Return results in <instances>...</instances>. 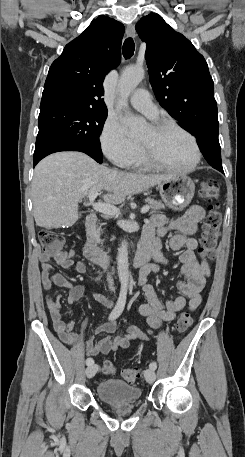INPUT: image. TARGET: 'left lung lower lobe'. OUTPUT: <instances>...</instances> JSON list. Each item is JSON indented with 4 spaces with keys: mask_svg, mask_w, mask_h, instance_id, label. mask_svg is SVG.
<instances>
[{
    "mask_svg": "<svg viewBox=\"0 0 245 457\" xmlns=\"http://www.w3.org/2000/svg\"><path fill=\"white\" fill-rule=\"evenodd\" d=\"M218 127L219 124H210L208 127L197 129L193 135L196 137L199 148L207 162L213 168L223 172Z\"/></svg>",
    "mask_w": 245,
    "mask_h": 457,
    "instance_id": "0a47b994",
    "label": "left lung lower lobe"
}]
</instances>
